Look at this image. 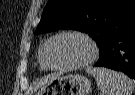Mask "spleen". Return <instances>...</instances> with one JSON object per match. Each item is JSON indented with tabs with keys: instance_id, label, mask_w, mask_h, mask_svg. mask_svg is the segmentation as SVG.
<instances>
[{
	"instance_id": "3e777b00",
	"label": "spleen",
	"mask_w": 135,
	"mask_h": 95,
	"mask_svg": "<svg viewBox=\"0 0 135 95\" xmlns=\"http://www.w3.org/2000/svg\"><path fill=\"white\" fill-rule=\"evenodd\" d=\"M85 70L95 78L102 95H132L135 81L125 74L106 68L87 67Z\"/></svg>"
}]
</instances>
